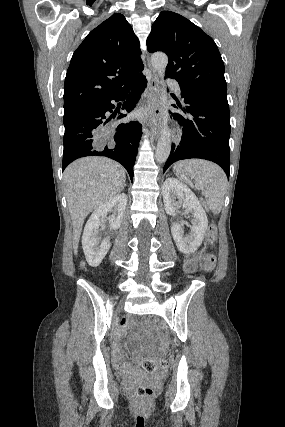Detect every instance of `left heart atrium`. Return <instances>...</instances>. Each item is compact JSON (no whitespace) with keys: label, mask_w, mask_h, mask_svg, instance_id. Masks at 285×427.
<instances>
[{"label":"left heart atrium","mask_w":285,"mask_h":427,"mask_svg":"<svg viewBox=\"0 0 285 427\" xmlns=\"http://www.w3.org/2000/svg\"><path fill=\"white\" fill-rule=\"evenodd\" d=\"M135 115L137 116V117H143L144 115H145V113H144V111H137L136 113H135Z\"/></svg>","instance_id":"1"}]
</instances>
